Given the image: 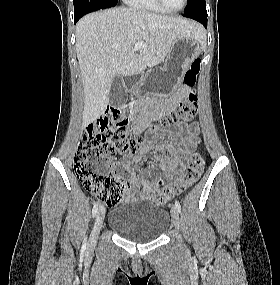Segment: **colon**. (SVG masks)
<instances>
[{
  "label": "colon",
  "mask_w": 280,
  "mask_h": 285,
  "mask_svg": "<svg viewBox=\"0 0 280 285\" xmlns=\"http://www.w3.org/2000/svg\"><path fill=\"white\" fill-rule=\"evenodd\" d=\"M200 71V61L194 60L184 75V84L192 89L177 107L159 118L154 127L177 126L191 120L197 113V96L194 87ZM129 121L124 112L110 108L84 131L74 155V170L78 180L93 196L108 206L117 205L122 198L123 180L110 171L116 156L135 152L142 137H130ZM204 159L200 152L193 153L183 171L170 184L155 191L150 200L164 204L173 196L191 187L203 171Z\"/></svg>",
  "instance_id": "5ec220e1"
}]
</instances>
